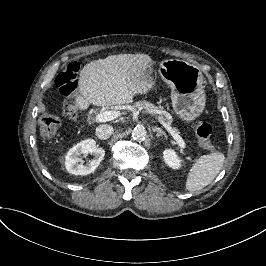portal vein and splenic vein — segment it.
<instances>
[{
	"label": "portal vein and splenic vein",
	"instance_id": "18ae733b",
	"mask_svg": "<svg viewBox=\"0 0 266 266\" xmlns=\"http://www.w3.org/2000/svg\"><path fill=\"white\" fill-rule=\"evenodd\" d=\"M119 116H120V113L118 111H111V110L110 111H104V112H101L98 115H96V122L111 121V120L118 118ZM161 124L168 131V133L171 134V136L173 137V139L177 142V144L179 146L185 145L182 137L173 130V128L170 126L169 123L167 124V123L161 122Z\"/></svg>",
	"mask_w": 266,
	"mask_h": 266
}]
</instances>
